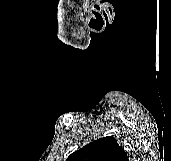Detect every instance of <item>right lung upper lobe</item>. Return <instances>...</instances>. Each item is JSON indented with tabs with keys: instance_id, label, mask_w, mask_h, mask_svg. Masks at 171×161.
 <instances>
[{
	"instance_id": "obj_1",
	"label": "right lung upper lobe",
	"mask_w": 171,
	"mask_h": 161,
	"mask_svg": "<svg viewBox=\"0 0 171 161\" xmlns=\"http://www.w3.org/2000/svg\"><path fill=\"white\" fill-rule=\"evenodd\" d=\"M66 161H129V158L115 138L103 137L75 151Z\"/></svg>"
}]
</instances>
